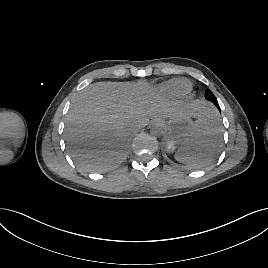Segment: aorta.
Returning <instances> with one entry per match:
<instances>
[{
    "mask_svg": "<svg viewBox=\"0 0 268 268\" xmlns=\"http://www.w3.org/2000/svg\"><path fill=\"white\" fill-rule=\"evenodd\" d=\"M163 129L160 126H154L150 130V133L154 136H161L163 134Z\"/></svg>",
    "mask_w": 268,
    "mask_h": 268,
    "instance_id": "aorta-1",
    "label": "aorta"
}]
</instances>
